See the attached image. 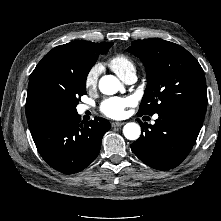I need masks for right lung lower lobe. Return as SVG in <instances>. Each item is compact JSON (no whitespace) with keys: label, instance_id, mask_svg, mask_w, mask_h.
Wrapping results in <instances>:
<instances>
[{"label":"right lung lower lobe","instance_id":"obj_1","mask_svg":"<svg viewBox=\"0 0 221 221\" xmlns=\"http://www.w3.org/2000/svg\"><path fill=\"white\" fill-rule=\"evenodd\" d=\"M35 145L42 158L65 174L80 172L98 156L108 120L95 117L83 123L77 112L50 109L27 117Z\"/></svg>","mask_w":221,"mask_h":221}]
</instances>
